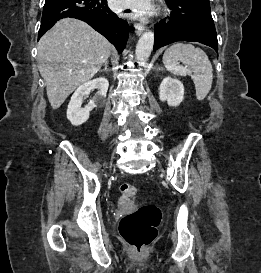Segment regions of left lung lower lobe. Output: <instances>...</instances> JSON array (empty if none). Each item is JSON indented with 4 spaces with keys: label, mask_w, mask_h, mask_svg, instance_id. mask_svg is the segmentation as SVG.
Returning a JSON list of instances; mask_svg holds the SVG:
<instances>
[{
    "label": "left lung lower lobe",
    "mask_w": 261,
    "mask_h": 273,
    "mask_svg": "<svg viewBox=\"0 0 261 273\" xmlns=\"http://www.w3.org/2000/svg\"><path fill=\"white\" fill-rule=\"evenodd\" d=\"M170 16L155 26L154 51L176 41H196L218 52L209 0H166Z\"/></svg>",
    "instance_id": "0a47b994"
}]
</instances>
